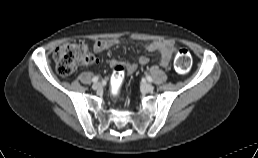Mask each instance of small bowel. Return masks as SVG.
<instances>
[{
	"label": "small bowel",
	"mask_w": 258,
	"mask_h": 158,
	"mask_svg": "<svg viewBox=\"0 0 258 158\" xmlns=\"http://www.w3.org/2000/svg\"><path fill=\"white\" fill-rule=\"evenodd\" d=\"M120 42L115 38L97 40L93 44V50L96 53H100L102 51L109 50L114 46L118 45ZM146 48L150 51L156 52L159 56V64L163 67H167L170 63L172 55L175 51V42L173 40H155L151 42H147L145 44ZM96 62V61H95ZM138 63L141 66H145L149 63V59L146 56H141L138 58ZM117 61L111 60L110 65L115 67L117 65ZM137 66L135 64H128L126 69L128 71H135Z\"/></svg>",
	"instance_id": "small-bowel-1"
}]
</instances>
